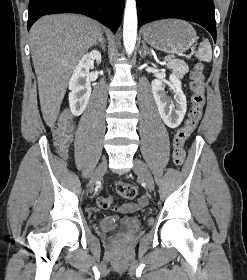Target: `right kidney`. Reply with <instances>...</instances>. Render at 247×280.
Here are the masks:
<instances>
[{"label":"right kidney","mask_w":247,"mask_h":280,"mask_svg":"<svg viewBox=\"0 0 247 280\" xmlns=\"http://www.w3.org/2000/svg\"><path fill=\"white\" fill-rule=\"evenodd\" d=\"M94 60L98 64L101 62V54L96 50L83 55L70 78L69 104L74 116L81 115L87 107L91 95L89 69Z\"/></svg>","instance_id":"1"}]
</instances>
